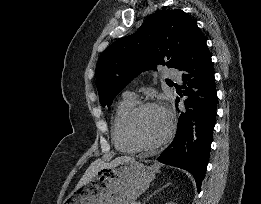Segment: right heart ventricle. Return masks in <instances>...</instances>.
<instances>
[{"label": "right heart ventricle", "mask_w": 261, "mask_h": 204, "mask_svg": "<svg viewBox=\"0 0 261 204\" xmlns=\"http://www.w3.org/2000/svg\"><path fill=\"white\" fill-rule=\"evenodd\" d=\"M136 106L134 99L121 100L113 113L111 122V136L114 147L122 153H134L138 150L126 137L124 123L130 111Z\"/></svg>", "instance_id": "e07e8e85"}]
</instances>
